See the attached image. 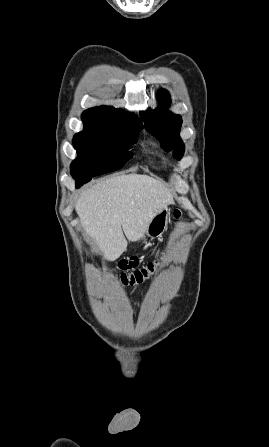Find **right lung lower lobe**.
I'll use <instances>...</instances> for the list:
<instances>
[{"label":"right lung lower lobe","mask_w":269,"mask_h":447,"mask_svg":"<svg viewBox=\"0 0 269 447\" xmlns=\"http://www.w3.org/2000/svg\"><path fill=\"white\" fill-rule=\"evenodd\" d=\"M75 180H76V183H77V187H79V186L82 185L83 183H86V182L90 181L91 178H89V179H87V180H77V179H75Z\"/></svg>","instance_id":"98d812e1"}]
</instances>
